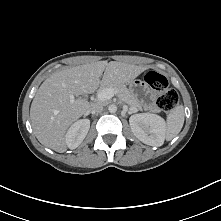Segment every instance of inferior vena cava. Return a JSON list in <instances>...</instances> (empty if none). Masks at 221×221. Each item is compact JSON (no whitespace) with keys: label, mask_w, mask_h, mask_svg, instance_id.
<instances>
[{"label":"inferior vena cava","mask_w":221,"mask_h":221,"mask_svg":"<svg viewBox=\"0 0 221 221\" xmlns=\"http://www.w3.org/2000/svg\"><path fill=\"white\" fill-rule=\"evenodd\" d=\"M103 111V105L102 104H92L90 107L91 113H101Z\"/></svg>","instance_id":"1"}]
</instances>
